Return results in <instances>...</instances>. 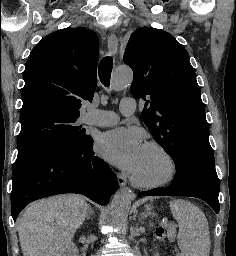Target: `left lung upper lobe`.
I'll return each instance as SVG.
<instances>
[{
  "instance_id": "left-lung-upper-lobe-1",
  "label": "left lung upper lobe",
  "mask_w": 236,
  "mask_h": 256,
  "mask_svg": "<svg viewBox=\"0 0 236 256\" xmlns=\"http://www.w3.org/2000/svg\"><path fill=\"white\" fill-rule=\"evenodd\" d=\"M124 62L134 73L132 95L146 100L143 120L175 164L190 157L214 160L204 104L185 48L169 33L143 27L132 33Z\"/></svg>"
}]
</instances>
